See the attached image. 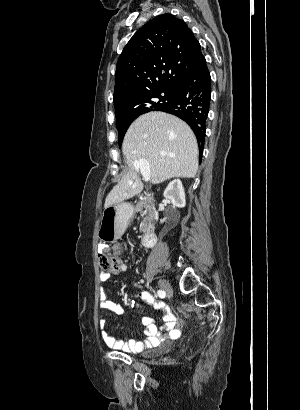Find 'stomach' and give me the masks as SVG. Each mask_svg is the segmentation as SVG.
I'll use <instances>...</instances> for the list:
<instances>
[{
	"instance_id": "obj_1",
	"label": "stomach",
	"mask_w": 300,
	"mask_h": 410,
	"mask_svg": "<svg viewBox=\"0 0 300 410\" xmlns=\"http://www.w3.org/2000/svg\"><path fill=\"white\" fill-rule=\"evenodd\" d=\"M133 215V207L121 202L104 209L98 236L101 241H115L122 236Z\"/></svg>"
}]
</instances>
